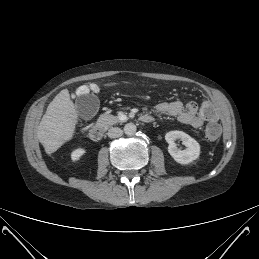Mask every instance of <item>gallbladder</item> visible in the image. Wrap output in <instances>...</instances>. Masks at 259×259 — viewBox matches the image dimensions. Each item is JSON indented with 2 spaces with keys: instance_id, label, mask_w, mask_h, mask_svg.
Segmentation results:
<instances>
[{
  "instance_id": "1",
  "label": "gallbladder",
  "mask_w": 259,
  "mask_h": 259,
  "mask_svg": "<svg viewBox=\"0 0 259 259\" xmlns=\"http://www.w3.org/2000/svg\"><path fill=\"white\" fill-rule=\"evenodd\" d=\"M77 105L82 117L86 120H91L95 117L100 102L97 96L90 94L80 98Z\"/></svg>"
}]
</instances>
